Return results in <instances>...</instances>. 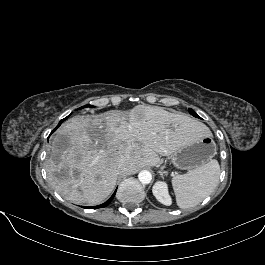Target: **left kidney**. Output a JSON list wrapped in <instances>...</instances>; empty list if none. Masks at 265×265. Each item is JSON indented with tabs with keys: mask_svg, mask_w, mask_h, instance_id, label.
<instances>
[{
	"mask_svg": "<svg viewBox=\"0 0 265 265\" xmlns=\"http://www.w3.org/2000/svg\"><path fill=\"white\" fill-rule=\"evenodd\" d=\"M152 192L160 203L166 206H170L172 204L171 197L168 193V186L165 182L157 181L153 186Z\"/></svg>",
	"mask_w": 265,
	"mask_h": 265,
	"instance_id": "left-kidney-1",
	"label": "left kidney"
}]
</instances>
